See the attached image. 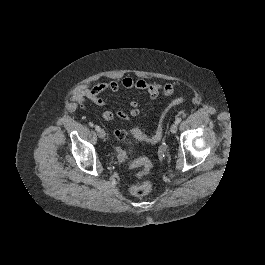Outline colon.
<instances>
[{
  "label": "colon",
  "instance_id": "1",
  "mask_svg": "<svg viewBox=\"0 0 265 265\" xmlns=\"http://www.w3.org/2000/svg\"><path fill=\"white\" fill-rule=\"evenodd\" d=\"M164 94L166 96H170L172 94V88L170 86L164 87ZM184 102L183 98H176L172 101V103L166 108V110L161 115L160 121L158 123L156 132L153 136L148 137L145 134H143L140 130L134 129L132 130V134L139 140L148 142V143H158L162 137H163V120L166 115V113L174 106L179 105ZM114 135L118 139H124L127 136V133L123 130H116L114 132ZM133 167L140 168L139 171H137L136 176L142 177L144 175L149 174V172L152 169V163L148 158L141 157L132 162ZM152 188V183L148 180L140 183V184H134L130 187V192L132 195L141 197L146 195L150 192Z\"/></svg>",
  "mask_w": 265,
  "mask_h": 265
}]
</instances>
